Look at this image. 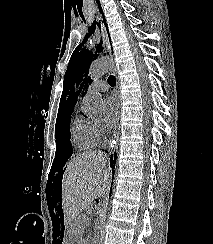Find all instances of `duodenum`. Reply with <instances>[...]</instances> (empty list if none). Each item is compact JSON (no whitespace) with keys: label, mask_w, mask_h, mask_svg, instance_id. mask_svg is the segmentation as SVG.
<instances>
[{"label":"duodenum","mask_w":213,"mask_h":244,"mask_svg":"<svg viewBox=\"0 0 213 244\" xmlns=\"http://www.w3.org/2000/svg\"><path fill=\"white\" fill-rule=\"evenodd\" d=\"M92 243H93V244H98V239H97V237H94V238H93Z\"/></svg>","instance_id":"duodenum-1"}]
</instances>
